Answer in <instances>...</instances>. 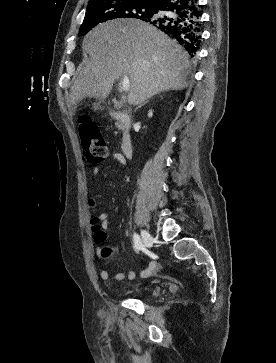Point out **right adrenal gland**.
<instances>
[{"mask_svg": "<svg viewBox=\"0 0 276 363\" xmlns=\"http://www.w3.org/2000/svg\"><path fill=\"white\" fill-rule=\"evenodd\" d=\"M147 102H148V101H146L144 104H142V105L138 106L136 109H138V108L142 107V106H143V105H145Z\"/></svg>", "mask_w": 276, "mask_h": 363, "instance_id": "1", "label": "right adrenal gland"}]
</instances>
